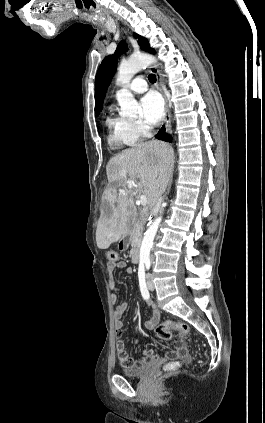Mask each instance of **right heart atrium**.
Returning a JSON list of instances; mask_svg holds the SVG:
<instances>
[{
	"label": "right heart atrium",
	"mask_w": 265,
	"mask_h": 423,
	"mask_svg": "<svg viewBox=\"0 0 265 423\" xmlns=\"http://www.w3.org/2000/svg\"><path fill=\"white\" fill-rule=\"evenodd\" d=\"M133 129L136 135L140 137H146L150 132V127L142 122L141 120H134L132 121Z\"/></svg>",
	"instance_id": "d8ad5b80"
}]
</instances>
